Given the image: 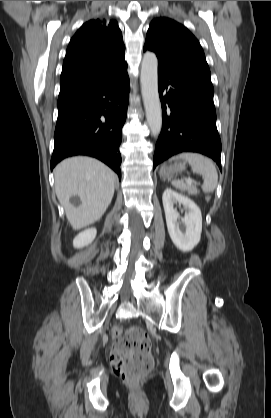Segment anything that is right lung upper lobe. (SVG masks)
Here are the masks:
<instances>
[{"label":"right lung upper lobe","instance_id":"right-lung-upper-lobe-1","mask_svg":"<svg viewBox=\"0 0 271 418\" xmlns=\"http://www.w3.org/2000/svg\"><path fill=\"white\" fill-rule=\"evenodd\" d=\"M116 21L90 20L72 37L63 62L58 104L97 89L127 67Z\"/></svg>","mask_w":271,"mask_h":418}]
</instances>
